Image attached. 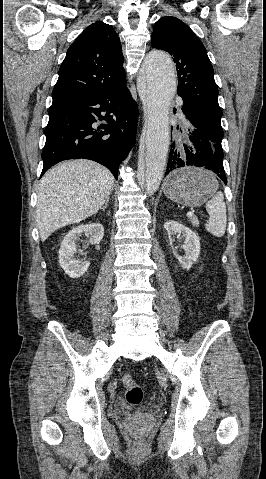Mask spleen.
I'll return each instance as SVG.
<instances>
[{
    "instance_id": "spleen-1",
    "label": "spleen",
    "mask_w": 266,
    "mask_h": 479,
    "mask_svg": "<svg viewBox=\"0 0 266 479\" xmlns=\"http://www.w3.org/2000/svg\"><path fill=\"white\" fill-rule=\"evenodd\" d=\"M206 210L209 214V221L205 229L215 237H222L226 230V205L221 191L216 192L212 199L206 203Z\"/></svg>"
}]
</instances>
